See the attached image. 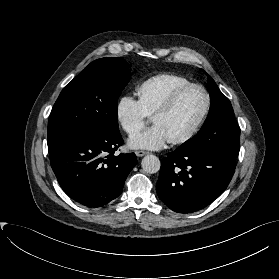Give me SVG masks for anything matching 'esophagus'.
I'll return each instance as SVG.
<instances>
[{
    "label": "esophagus",
    "instance_id": "esophagus-1",
    "mask_svg": "<svg viewBox=\"0 0 279 279\" xmlns=\"http://www.w3.org/2000/svg\"><path fill=\"white\" fill-rule=\"evenodd\" d=\"M135 154L138 156V157H142V156H145L147 154H149L148 151H144V150H138L135 152Z\"/></svg>",
    "mask_w": 279,
    "mask_h": 279
}]
</instances>
